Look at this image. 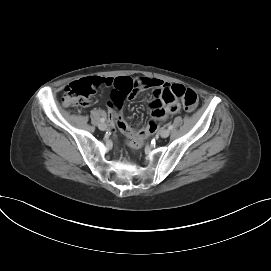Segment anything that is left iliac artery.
<instances>
[{
  "instance_id": "left-iliac-artery-1",
  "label": "left iliac artery",
  "mask_w": 271,
  "mask_h": 271,
  "mask_svg": "<svg viewBox=\"0 0 271 271\" xmlns=\"http://www.w3.org/2000/svg\"><path fill=\"white\" fill-rule=\"evenodd\" d=\"M168 129H169V130H172V129H173V125H169V126H168Z\"/></svg>"
}]
</instances>
